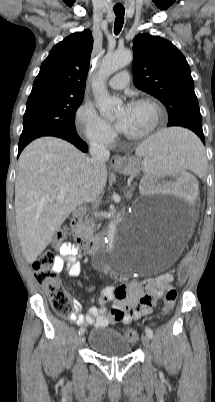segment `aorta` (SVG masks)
I'll return each mask as SVG.
<instances>
[{
  "label": "aorta",
  "mask_w": 215,
  "mask_h": 402,
  "mask_svg": "<svg viewBox=\"0 0 215 402\" xmlns=\"http://www.w3.org/2000/svg\"><path fill=\"white\" fill-rule=\"evenodd\" d=\"M133 59V54L130 50L117 51L107 54L100 65L96 79L92 83V90L99 109L100 114L106 119H113L122 104V100L118 97H112L107 88L106 80L116 71L128 65ZM115 236V226H109L107 241L108 245L104 247L99 258L112 265L114 269H120L123 266L122 256L116 255L113 247Z\"/></svg>",
  "instance_id": "762f6f07"
}]
</instances>
